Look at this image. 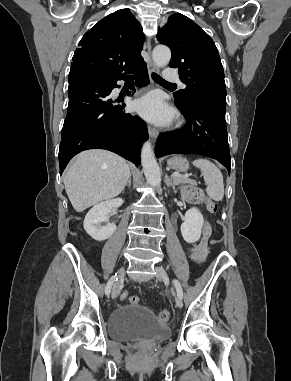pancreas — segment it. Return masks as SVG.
I'll return each mask as SVG.
<instances>
[{
  "mask_svg": "<svg viewBox=\"0 0 291 381\" xmlns=\"http://www.w3.org/2000/svg\"><path fill=\"white\" fill-rule=\"evenodd\" d=\"M173 181L175 184H190V185H193L195 186L196 183L194 181H192L191 179L189 178H185V177H174L173 178Z\"/></svg>",
  "mask_w": 291,
  "mask_h": 381,
  "instance_id": "pancreas-1",
  "label": "pancreas"
}]
</instances>
